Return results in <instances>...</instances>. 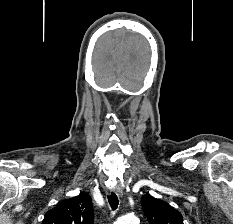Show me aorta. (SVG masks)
Wrapping results in <instances>:
<instances>
[{"label":"aorta","instance_id":"762f6f07","mask_svg":"<svg viewBox=\"0 0 233 224\" xmlns=\"http://www.w3.org/2000/svg\"><path fill=\"white\" fill-rule=\"evenodd\" d=\"M114 224H139V219L135 215L128 214L118 218Z\"/></svg>","mask_w":233,"mask_h":224}]
</instances>
